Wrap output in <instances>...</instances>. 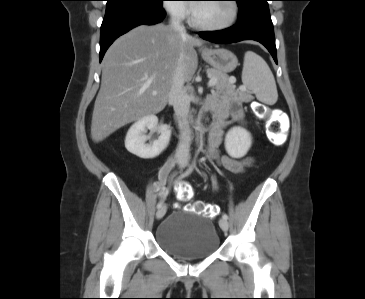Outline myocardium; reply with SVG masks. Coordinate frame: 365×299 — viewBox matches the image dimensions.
Segmentation results:
<instances>
[{
    "mask_svg": "<svg viewBox=\"0 0 365 299\" xmlns=\"http://www.w3.org/2000/svg\"><path fill=\"white\" fill-rule=\"evenodd\" d=\"M228 1L230 2L231 7H232V16H231L230 20L227 21L226 23H223L220 25H208V24L201 23L197 19L194 9L192 10L191 23L195 27L205 30V31H223V30L231 28L232 26L235 25V23L237 22V20L239 18L240 8L237 3V0H228Z\"/></svg>",
    "mask_w": 365,
    "mask_h": 299,
    "instance_id": "f54148a6",
    "label": "myocardium"
}]
</instances>
